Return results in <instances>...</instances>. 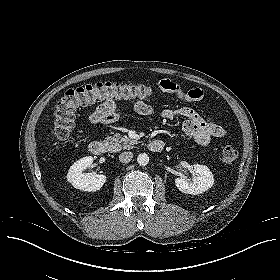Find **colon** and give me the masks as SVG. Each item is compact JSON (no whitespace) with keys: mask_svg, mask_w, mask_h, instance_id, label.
<instances>
[{"mask_svg":"<svg viewBox=\"0 0 280 280\" xmlns=\"http://www.w3.org/2000/svg\"><path fill=\"white\" fill-rule=\"evenodd\" d=\"M152 94L150 86L120 82H99L65 92L54 109V128L52 139L55 143L65 140L73 127L74 112L78 106L88 105L105 99H143ZM222 160L233 163L238 156L233 146L222 150Z\"/></svg>","mask_w":280,"mask_h":280,"instance_id":"obj_1","label":"colon"}]
</instances>
